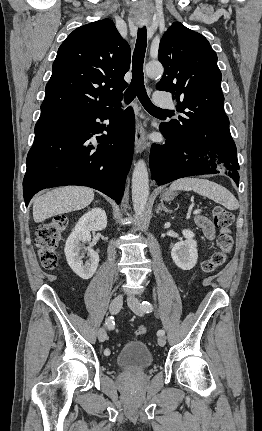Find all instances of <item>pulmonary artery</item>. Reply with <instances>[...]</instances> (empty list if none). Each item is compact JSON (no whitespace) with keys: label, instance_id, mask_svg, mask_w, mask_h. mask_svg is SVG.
Returning a JSON list of instances; mask_svg holds the SVG:
<instances>
[{"label":"pulmonary artery","instance_id":"obj_1","mask_svg":"<svg viewBox=\"0 0 262 431\" xmlns=\"http://www.w3.org/2000/svg\"><path fill=\"white\" fill-rule=\"evenodd\" d=\"M154 101L156 105L160 107L171 108L173 106V103L163 92H156L154 95Z\"/></svg>","mask_w":262,"mask_h":431}]
</instances>
